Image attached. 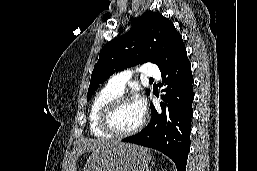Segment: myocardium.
<instances>
[{"instance_id": "1", "label": "myocardium", "mask_w": 257, "mask_h": 171, "mask_svg": "<svg viewBox=\"0 0 257 171\" xmlns=\"http://www.w3.org/2000/svg\"><path fill=\"white\" fill-rule=\"evenodd\" d=\"M128 102H132V100L127 97V96H123L120 95L116 98H114L113 100L109 101L103 108L101 115H100V127L101 129L106 132L107 134H109L112 137L115 138H124V137H128L131 135L136 134L137 132H139L145 125L146 123V117L145 115L142 116L141 121L139 122V124L134 127L131 130L128 131H117L114 129L112 123H111V118L112 115L114 113V111L122 104L124 103H128Z\"/></svg>"}]
</instances>
